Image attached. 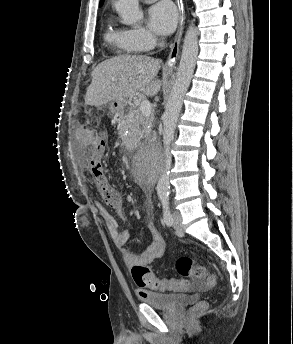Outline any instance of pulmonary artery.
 <instances>
[{"instance_id":"1","label":"pulmonary artery","mask_w":293,"mask_h":344,"mask_svg":"<svg viewBox=\"0 0 293 344\" xmlns=\"http://www.w3.org/2000/svg\"><path fill=\"white\" fill-rule=\"evenodd\" d=\"M142 1H144V2H146V3H151V2H154V1H156V0H142Z\"/></svg>"}]
</instances>
